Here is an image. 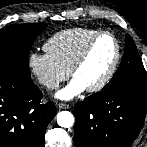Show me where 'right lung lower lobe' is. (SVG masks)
Wrapping results in <instances>:
<instances>
[{
    "mask_svg": "<svg viewBox=\"0 0 147 147\" xmlns=\"http://www.w3.org/2000/svg\"><path fill=\"white\" fill-rule=\"evenodd\" d=\"M31 79L0 72V147H43L47 125L56 115L53 102L43 104Z\"/></svg>",
    "mask_w": 147,
    "mask_h": 147,
    "instance_id": "obj_1",
    "label": "right lung lower lobe"
}]
</instances>
